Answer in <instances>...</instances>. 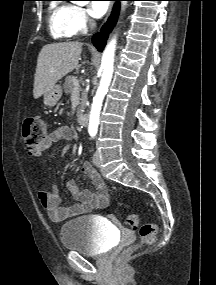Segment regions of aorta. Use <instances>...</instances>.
Masks as SVG:
<instances>
[{
    "label": "aorta",
    "instance_id": "aorta-1",
    "mask_svg": "<svg viewBox=\"0 0 216 285\" xmlns=\"http://www.w3.org/2000/svg\"><path fill=\"white\" fill-rule=\"evenodd\" d=\"M78 4H85L83 1H77ZM126 2H122V6H125ZM116 50V37H114L106 46L101 62V68L103 70L99 87L96 95L93 98V104L90 112L88 131L91 135H95L98 130L100 111L104 96L108 91L109 84L113 75V65Z\"/></svg>",
    "mask_w": 216,
    "mask_h": 285
}]
</instances>
